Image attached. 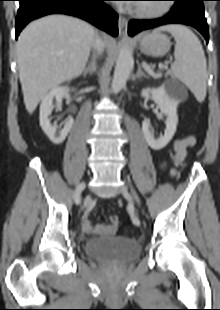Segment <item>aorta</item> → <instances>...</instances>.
Instances as JSON below:
<instances>
[{
  "label": "aorta",
  "instance_id": "obj_1",
  "mask_svg": "<svg viewBox=\"0 0 220 310\" xmlns=\"http://www.w3.org/2000/svg\"><path fill=\"white\" fill-rule=\"evenodd\" d=\"M133 67L132 52L128 46H124L118 55L114 76L112 80V91L118 93L125 87L126 81Z\"/></svg>",
  "mask_w": 220,
  "mask_h": 310
}]
</instances>
